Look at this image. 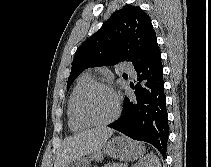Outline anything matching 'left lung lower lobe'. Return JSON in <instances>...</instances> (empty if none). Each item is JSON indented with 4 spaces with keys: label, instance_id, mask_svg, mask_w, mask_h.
I'll list each match as a JSON object with an SVG mask.
<instances>
[{
    "label": "left lung lower lobe",
    "instance_id": "1",
    "mask_svg": "<svg viewBox=\"0 0 211 167\" xmlns=\"http://www.w3.org/2000/svg\"><path fill=\"white\" fill-rule=\"evenodd\" d=\"M134 69L137 72L135 96L125 98L123 115L109 127L134 140L152 144L165 158L169 125L159 47Z\"/></svg>",
    "mask_w": 211,
    "mask_h": 167
}]
</instances>
